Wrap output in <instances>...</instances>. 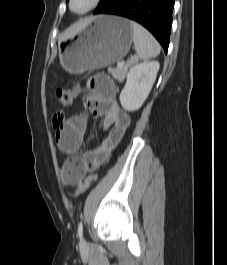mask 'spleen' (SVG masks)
I'll return each instance as SVG.
<instances>
[{"label": "spleen", "mask_w": 227, "mask_h": 265, "mask_svg": "<svg viewBox=\"0 0 227 265\" xmlns=\"http://www.w3.org/2000/svg\"><path fill=\"white\" fill-rule=\"evenodd\" d=\"M130 25L133 29V43L138 57L143 60L157 57L161 50L157 40L135 21H130Z\"/></svg>", "instance_id": "1"}]
</instances>
